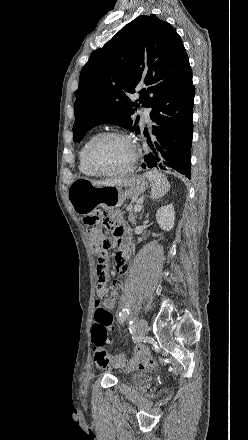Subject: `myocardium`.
I'll return each instance as SVG.
<instances>
[{"label":"myocardium","mask_w":248,"mask_h":440,"mask_svg":"<svg viewBox=\"0 0 248 440\" xmlns=\"http://www.w3.org/2000/svg\"><path fill=\"white\" fill-rule=\"evenodd\" d=\"M111 137H117V138H121L126 140L131 148V152H132V156H131V160L129 162V164L122 170L116 171V172H103V171H99L97 170L93 163H92V153L94 148L104 139L107 138H111ZM138 159V153L136 151V148L134 146V143L132 141V139L126 135L125 133L121 132V131H106V132H102L100 134H98L89 144L87 150H86V154H85V162L86 165L88 167V169L91 171V173H93V175L95 176H100V177H121L124 176L128 173H130L137 162Z\"/></svg>","instance_id":"f54148a6"}]
</instances>
